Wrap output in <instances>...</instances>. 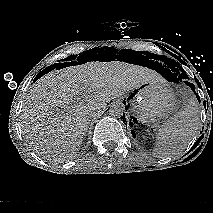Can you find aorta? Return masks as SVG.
Segmentation results:
<instances>
[{"label":"aorta","mask_w":213,"mask_h":213,"mask_svg":"<svg viewBox=\"0 0 213 213\" xmlns=\"http://www.w3.org/2000/svg\"><path fill=\"white\" fill-rule=\"evenodd\" d=\"M125 107L121 102H113L108 110L109 115L114 118H119L123 115Z\"/></svg>","instance_id":"aorta-1"}]
</instances>
